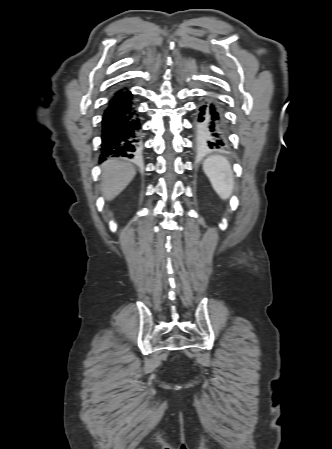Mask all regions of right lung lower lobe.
Returning <instances> with one entry per match:
<instances>
[{"label": "right lung lower lobe", "instance_id": "obj_1", "mask_svg": "<svg viewBox=\"0 0 332 449\" xmlns=\"http://www.w3.org/2000/svg\"><path fill=\"white\" fill-rule=\"evenodd\" d=\"M141 123L130 91H117L102 119L100 161L106 157L137 156L141 149Z\"/></svg>", "mask_w": 332, "mask_h": 449}]
</instances>
